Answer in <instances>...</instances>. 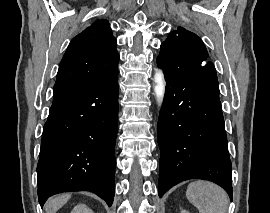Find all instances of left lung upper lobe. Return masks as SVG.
I'll list each match as a JSON object with an SVG mask.
<instances>
[{
	"label": "left lung upper lobe",
	"mask_w": 270,
	"mask_h": 213,
	"mask_svg": "<svg viewBox=\"0 0 270 213\" xmlns=\"http://www.w3.org/2000/svg\"><path fill=\"white\" fill-rule=\"evenodd\" d=\"M208 53L202 40L194 33L178 27L161 44L157 64L165 76L196 75L218 85L216 70L207 61Z\"/></svg>",
	"instance_id": "5c2ea615"
}]
</instances>
